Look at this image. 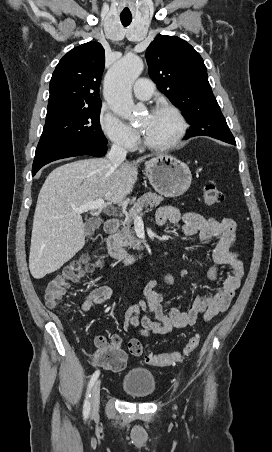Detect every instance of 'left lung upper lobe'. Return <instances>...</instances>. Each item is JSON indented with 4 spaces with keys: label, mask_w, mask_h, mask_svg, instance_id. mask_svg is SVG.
Instances as JSON below:
<instances>
[{
    "label": "left lung upper lobe",
    "mask_w": 272,
    "mask_h": 452,
    "mask_svg": "<svg viewBox=\"0 0 272 452\" xmlns=\"http://www.w3.org/2000/svg\"><path fill=\"white\" fill-rule=\"evenodd\" d=\"M149 75L183 111L190 131L213 138H233L208 82L200 54L176 36L158 35L146 50Z\"/></svg>",
    "instance_id": "1"
}]
</instances>
